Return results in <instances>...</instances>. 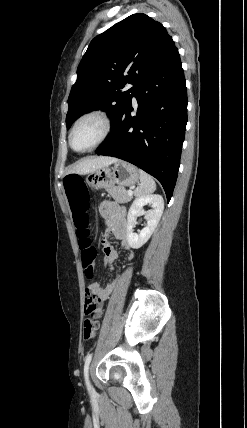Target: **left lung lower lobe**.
Instances as JSON below:
<instances>
[{
	"label": "left lung lower lobe",
	"mask_w": 247,
	"mask_h": 428,
	"mask_svg": "<svg viewBox=\"0 0 247 428\" xmlns=\"http://www.w3.org/2000/svg\"><path fill=\"white\" fill-rule=\"evenodd\" d=\"M138 103L132 115V97ZM97 155L130 162L162 184L169 202L178 175L187 123V91L176 48L138 84Z\"/></svg>",
	"instance_id": "1"
}]
</instances>
